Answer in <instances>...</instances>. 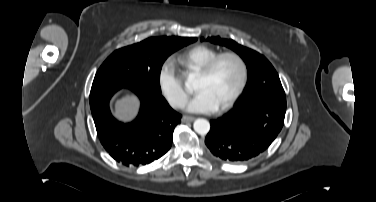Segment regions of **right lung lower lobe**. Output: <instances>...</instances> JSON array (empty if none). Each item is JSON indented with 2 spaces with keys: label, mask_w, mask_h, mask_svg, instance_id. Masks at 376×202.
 <instances>
[{
  "label": "right lung lower lobe",
  "mask_w": 376,
  "mask_h": 202,
  "mask_svg": "<svg viewBox=\"0 0 376 202\" xmlns=\"http://www.w3.org/2000/svg\"><path fill=\"white\" fill-rule=\"evenodd\" d=\"M122 87L132 90L141 100L139 115L128 124L117 121L109 110L110 98ZM90 107L103 147L125 166L146 165L163 156L171 147L174 128L181 119L161 92L142 84L91 88Z\"/></svg>",
  "instance_id": "98d812e1"
}]
</instances>
